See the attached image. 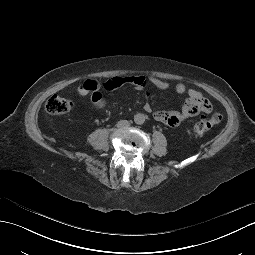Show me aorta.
I'll return each instance as SVG.
<instances>
[{"instance_id": "762f6f07", "label": "aorta", "mask_w": 255, "mask_h": 255, "mask_svg": "<svg viewBox=\"0 0 255 255\" xmlns=\"http://www.w3.org/2000/svg\"><path fill=\"white\" fill-rule=\"evenodd\" d=\"M134 122L138 125H141L145 122V116L141 113H138L134 116Z\"/></svg>"}]
</instances>
